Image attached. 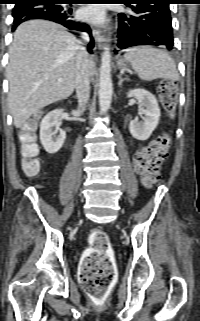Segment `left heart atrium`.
I'll list each match as a JSON object with an SVG mask.
<instances>
[{"instance_id":"1","label":"left heart atrium","mask_w":200,"mask_h":321,"mask_svg":"<svg viewBox=\"0 0 200 321\" xmlns=\"http://www.w3.org/2000/svg\"><path fill=\"white\" fill-rule=\"evenodd\" d=\"M81 15L84 19L91 22H101L104 17L102 8L100 7H89L81 11Z\"/></svg>"}]
</instances>
